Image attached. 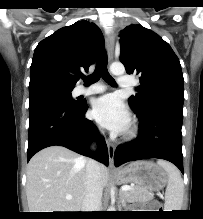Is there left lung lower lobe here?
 Wrapping results in <instances>:
<instances>
[{
	"instance_id": "1",
	"label": "left lung lower lobe",
	"mask_w": 203,
	"mask_h": 219,
	"mask_svg": "<svg viewBox=\"0 0 203 219\" xmlns=\"http://www.w3.org/2000/svg\"><path fill=\"white\" fill-rule=\"evenodd\" d=\"M136 114L140 119L139 136L117 148L115 166L129 161L159 158L175 164L183 173V106L158 105L143 114Z\"/></svg>"
}]
</instances>
